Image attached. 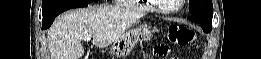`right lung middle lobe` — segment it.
<instances>
[{"mask_svg": "<svg viewBox=\"0 0 261 59\" xmlns=\"http://www.w3.org/2000/svg\"><path fill=\"white\" fill-rule=\"evenodd\" d=\"M96 2L98 0H43L42 2V14L43 16L47 15L48 13H51L58 8H60L63 5L73 3V2H85V3H91Z\"/></svg>", "mask_w": 261, "mask_h": 59, "instance_id": "right-lung-middle-lobe-1", "label": "right lung middle lobe"}]
</instances>
